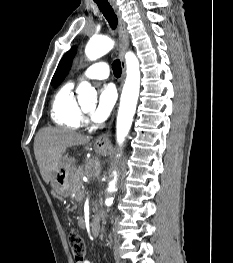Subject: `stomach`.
I'll return each mask as SVG.
<instances>
[{
  "label": "stomach",
  "instance_id": "0dacf381",
  "mask_svg": "<svg viewBox=\"0 0 233 263\" xmlns=\"http://www.w3.org/2000/svg\"><path fill=\"white\" fill-rule=\"evenodd\" d=\"M94 150L99 155H106L107 147L94 146ZM74 172V165L70 159L63 158L57 171L53 173L51 186L57 196H68L72 190L71 176Z\"/></svg>",
  "mask_w": 233,
  "mask_h": 263
}]
</instances>
